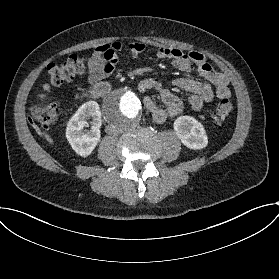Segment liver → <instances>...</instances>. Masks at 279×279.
Wrapping results in <instances>:
<instances>
[{"mask_svg": "<svg viewBox=\"0 0 279 279\" xmlns=\"http://www.w3.org/2000/svg\"><path fill=\"white\" fill-rule=\"evenodd\" d=\"M42 136L45 138V140H46L49 144L55 145V141H54V139L52 138V136H51L49 133L43 131V132H42Z\"/></svg>", "mask_w": 279, "mask_h": 279, "instance_id": "obj_1", "label": "liver"}]
</instances>
